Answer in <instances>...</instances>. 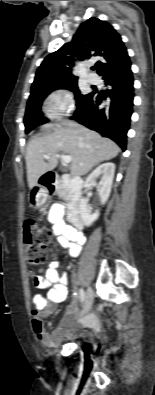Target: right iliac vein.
I'll list each match as a JSON object with an SVG mask.
<instances>
[{"label": "right iliac vein", "instance_id": "right-iliac-vein-1", "mask_svg": "<svg viewBox=\"0 0 155 395\" xmlns=\"http://www.w3.org/2000/svg\"><path fill=\"white\" fill-rule=\"evenodd\" d=\"M93 299H94V294H93L92 289L89 287L86 292L85 302H84V306H83L81 315L86 314L91 309L92 304H93Z\"/></svg>", "mask_w": 155, "mask_h": 395}]
</instances>
